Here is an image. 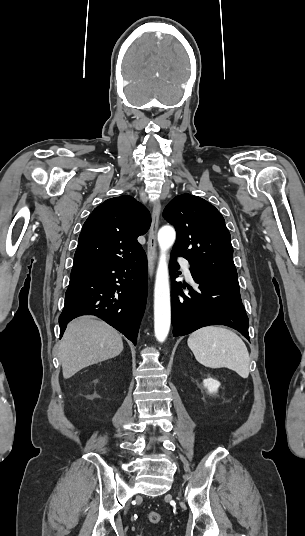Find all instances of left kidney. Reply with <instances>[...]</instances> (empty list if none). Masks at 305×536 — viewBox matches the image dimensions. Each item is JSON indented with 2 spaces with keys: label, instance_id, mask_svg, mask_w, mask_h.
Here are the masks:
<instances>
[{
  "label": "left kidney",
  "instance_id": "1",
  "mask_svg": "<svg viewBox=\"0 0 305 536\" xmlns=\"http://www.w3.org/2000/svg\"><path fill=\"white\" fill-rule=\"evenodd\" d=\"M203 384L205 388H207L209 394H214V392H217L219 386H221L220 382H218V380H213V378L203 380Z\"/></svg>",
  "mask_w": 305,
  "mask_h": 536
}]
</instances>
